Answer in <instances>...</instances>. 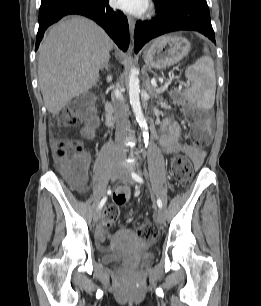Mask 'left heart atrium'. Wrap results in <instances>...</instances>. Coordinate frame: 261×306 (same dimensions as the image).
<instances>
[{
	"instance_id": "left-heart-atrium-1",
	"label": "left heart atrium",
	"mask_w": 261,
	"mask_h": 306,
	"mask_svg": "<svg viewBox=\"0 0 261 306\" xmlns=\"http://www.w3.org/2000/svg\"><path fill=\"white\" fill-rule=\"evenodd\" d=\"M117 6L132 14L141 13L147 6L146 0H117Z\"/></svg>"
}]
</instances>
